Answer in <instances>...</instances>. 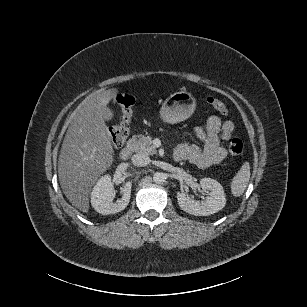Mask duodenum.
<instances>
[{"mask_svg": "<svg viewBox=\"0 0 307 307\" xmlns=\"http://www.w3.org/2000/svg\"><path fill=\"white\" fill-rule=\"evenodd\" d=\"M133 151V142L130 141L126 146H124L119 152V158L123 161L128 160Z\"/></svg>", "mask_w": 307, "mask_h": 307, "instance_id": "obj_1", "label": "duodenum"}]
</instances>
